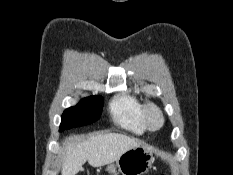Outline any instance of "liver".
I'll return each mask as SVG.
<instances>
[{"label": "liver", "mask_w": 233, "mask_h": 175, "mask_svg": "<svg viewBox=\"0 0 233 175\" xmlns=\"http://www.w3.org/2000/svg\"><path fill=\"white\" fill-rule=\"evenodd\" d=\"M65 145L66 157L61 174L76 175L79 171H83L86 161L92 167L113 163L129 149L141 145V142L123 134L107 133L78 140V143L70 137Z\"/></svg>", "instance_id": "obj_1"}]
</instances>
